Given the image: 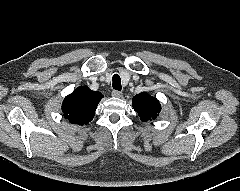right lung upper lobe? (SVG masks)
Returning <instances> with one entry per match:
<instances>
[{"instance_id":"1","label":"right lung upper lobe","mask_w":240,"mask_h":191,"mask_svg":"<svg viewBox=\"0 0 240 191\" xmlns=\"http://www.w3.org/2000/svg\"><path fill=\"white\" fill-rule=\"evenodd\" d=\"M102 97L100 92L92 91L87 86L78 87L64 99L63 115L73 124H87L93 119L96 107Z\"/></svg>"}]
</instances>
